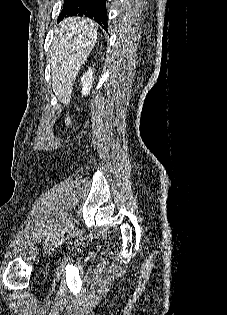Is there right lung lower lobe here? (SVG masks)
<instances>
[{
    "label": "right lung lower lobe",
    "mask_w": 227,
    "mask_h": 315,
    "mask_svg": "<svg viewBox=\"0 0 227 315\" xmlns=\"http://www.w3.org/2000/svg\"><path fill=\"white\" fill-rule=\"evenodd\" d=\"M72 16L91 18L107 30L106 0H64L58 22Z\"/></svg>",
    "instance_id": "right-lung-lower-lobe-1"
}]
</instances>
